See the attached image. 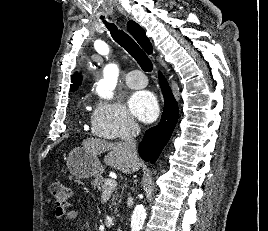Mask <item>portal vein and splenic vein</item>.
Returning a JSON list of instances; mask_svg holds the SVG:
<instances>
[{"mask_svg":"<svg viewBox=\"0 0 268 231\" xmlns=\"http://www.w3.org/2000/svg\"><path fill=\"white\" fill-rule=\"evenodd\" d=\"M117 186V182L113 179H108L105 182V188H104V192H111L112 190H114Z\"/></svg>","mask_w":268,"mask_h":231,"instance_id":"18ae733b","label":"portal vein and splenic vein"}]
</instances>
